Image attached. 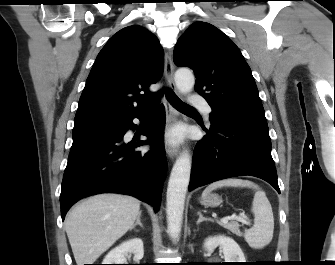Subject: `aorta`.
Segmentation results:
<instances>
[{
    "label": "aorta",
    "mask_w": 335,
    "mask_h": 265,
    "mask_svg": "<svg viewBox=\"0 0 335 265\" xmlns=\"http://www.w3.org/2000/svg\"><path fill=\"white\" fill-rule=\"evenodd\" d=\"M175 83L181 93H189L195 84L193 73L180 68L175 73ZM191 156L184 150L177 158L168 182L166 195L167 228L174 241L179 238L183 220L185 197L190 181Z\"/></svg>",
    "instance_id": "obj_1"
}]
</instances>
